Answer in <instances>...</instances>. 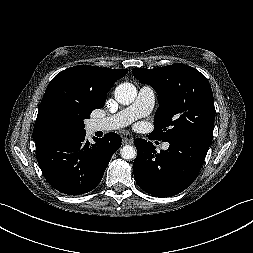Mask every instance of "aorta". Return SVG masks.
I'll use <instances>...</instances> for the list:
<instances>
[{
	"instance_id": "obj_1",
	"label": "aorta",
	"mask_w": 253,
	"mask_h": 253,
	"mask_svg": "<svg viewBox=\"0 0 253 253\" xmlns=\"http://www.w3.org/2000/svg\"><path fill=\"white\" fill-rule=\"evenodd\" d=\"M114 96L118 103L128 105L135 100L137 96V89L131 83H122L116 87ZM120 153L124 159H134L137 155L136 149L130 145L123 146Z\"/></svg>"
}]
</instances>
